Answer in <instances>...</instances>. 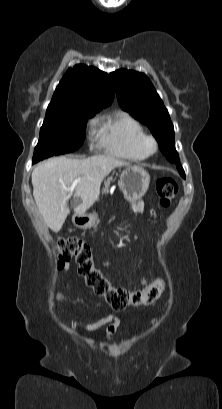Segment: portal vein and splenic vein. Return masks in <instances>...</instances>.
I'll use <instances>...</instances> for the list:
<instances>
[{"label":"portal vein and splenic vein","mask_w":222,"mask_h":409,"mask_svg":"<svg viewBox=\"0 0 222 409\" xmlns=\"http://www.w3.org/2000/svg\"><path fill=\"white\" fill-rule=\"evenodd\" d=\"M80 182V179H75L71 185V187L69 188L70 192H73V190L75 189L76 185Z\"/></svg>","instance_id":"1"}]
</instances>
